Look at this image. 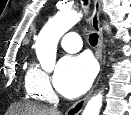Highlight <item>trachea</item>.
<instances>
[{"instance_id":"1","label":"trachea","mask_w":131,"mask_h":115,"mask_svg":"<svg viewBox=\"0 0 131 115\" xmlns=\"http://www.w3.org/2000/svg\"><path fill=\"white\" fill-rule=\"evenodd\" d=\"M87 0H84V5H87ZM97 42H98V34L97 33H93L89 36V43L92 45V46H96L97 45Z\"/></svg>"}]
</instances>
